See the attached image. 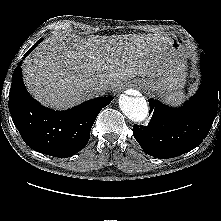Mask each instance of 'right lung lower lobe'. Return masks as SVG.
<instances>
[{"label": "right lung lower lobe", "mask_w": 221, "mask_h": 221, "mask_svg": "<svg viewBox=\"0 0 221 221\" xmlns=\"http://www.w3.org/2000/svg\"><path fill=\"white\" fill-rule=\"evenodd\" d=\"M41 42L30 48L25 57ZM9 110L24 142L37 152L54 157H71L88 143L93 123L113 98L99 97L67 111H54L30 96L20 65L12 76Z\"/></svg>", "instance_id": "1"}]
</instances>
